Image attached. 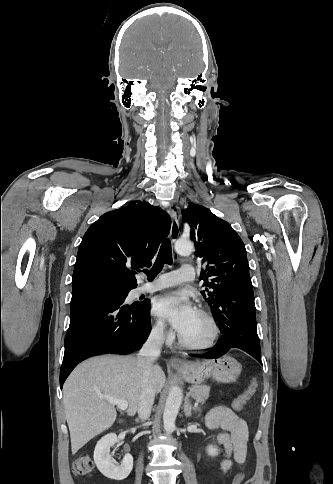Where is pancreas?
Masks as SVG:
<instances>
[{
    "label": "pancreas",
    "mask_w": 333,
    "mask_h": 484,
    "mask_svg": "<svg viewBox=\"0 0 333 484\" xmlns=\"http://www.w3.org/2000/svg\"><path fill=\"white\" fill-rule=\"evenodd\" d=\"M189 390L191 397L197 402L204 403L209 398L210 386L193 385Z\"/></svg>",
    "instance_id": "1"
}]
</instances>
